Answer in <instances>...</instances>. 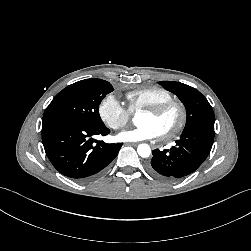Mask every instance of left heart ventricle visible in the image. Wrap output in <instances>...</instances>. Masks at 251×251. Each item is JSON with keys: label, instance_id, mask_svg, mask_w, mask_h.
I'll list each match as a JSON object with an SVG mask.
<instances>
[{"label": "left heart ventricle", "instance_id": "left-heart-ventricle-1", "mask_svg": "<svg viewBox=\"0 0 251 251\" xmlns=\"http://www.w3.org/2000/svg\"><path fill=\"white\" fill-rule=\"evenodd\" d=\"M178 120V110L171 109L160 116H153L148 113H142L138 118V123L140 125L150 124L156 128L159 134H161L174 128Z\"/></svg>", "mask_w": 251, "mask_h": 251}]
</instances>
